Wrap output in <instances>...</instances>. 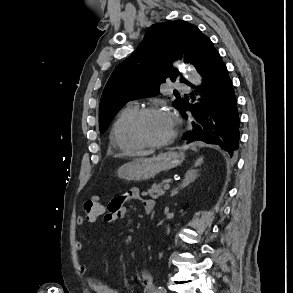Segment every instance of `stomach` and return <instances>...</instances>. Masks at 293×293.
<instances>
[{"label":"stomach","instance_id":"stomach-1","mask_svg":"<svg viewBox=\"0 0 293 293\" xmlns=\"http://www.w3.org/2000/svg\"><path fill=\"white\" fill-rule=\"evenodd\" d=\"M185 159L182 152L169 151L151 158H136L118 169V176L128 181H145L163 171L180 165Z\"/></svg>","mask_w":293,"mask_h":293}]
</instances>
